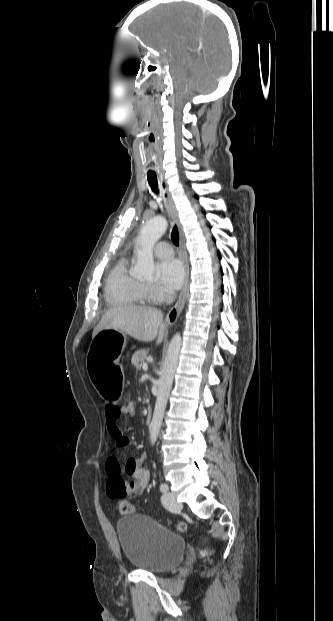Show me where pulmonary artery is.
Listing matches in <instances>:
<instances>
[{"label": "pulmonary artery", "mask_w": 333, "mask_h": 621, "mask_svg": "<svg viewBox=\"0 0 333 621\" xmlns=\"http://www.w3.org/2000/svg\"><path fill=\"white\" fill-rule=\"evenodd\" d=\"M154 253L157 257L163 259H170L173 256V250L171 245L166 241L157 243L154 248Z\"/></svg>", "instance_id": "pulmonary-artery-1"}]
</instances>
